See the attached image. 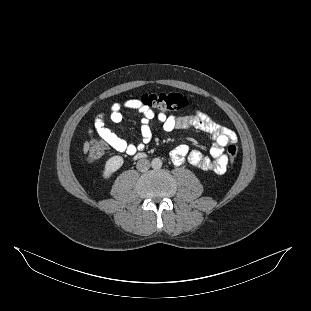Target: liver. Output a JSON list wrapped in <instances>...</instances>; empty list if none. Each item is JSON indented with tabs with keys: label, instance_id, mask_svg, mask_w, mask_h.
I'll return each mask as SVG.
<instances>
[{
	"label": "liver",
	"instance_id": "obj_1",
	"mask_svg": "<svg viewBox=\"0 0 311 311\" xmlns=\"http://www.w3.org/2000/svg\"><path fill=\"white\" fill-rule=\"evenodd\" d=\"M89 147H90L89 142L86 141V142L84 143V146H83V152H84V154H86V153L88 152Z\"/></svg>",
	"mask_w": 311,
	"mask_h": 311
}]
</instances>
